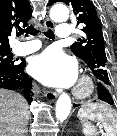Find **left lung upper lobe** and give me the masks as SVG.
Segmentation results:
<instances>
[{
	"instance_id": "1",
	"label": "left lung upper lobe",
	"mask_w": 117,
	"mask_h": 136,
	"mask_svg": "<svg viewBox=\"0 0 117 136\" xmlns=\"http://www.w3.org/2000/svg\"><path fill=\"white\" fill-rule=\"evenodd\" d=\"M62 1L73 8L77 18V26H82L85 37L80 38L71 46L72 52L81 58L92 70L96 78L110 86L105 53L104 38L101 21L99 20L95 6L90 0H50L48 5Z\"/></svg>"
}]
</instances>
